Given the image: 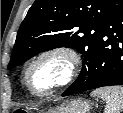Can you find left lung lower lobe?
<instances>
[{
    "mask_svg": "<svg viewBox=\"0 0 123 113\" xmlns=\"http://www.w3.org/2000/svg\"><path fill=\"white\" fill-rule=\"evenodd\" d=\"M111 85H123V0H112L87 71L62 96Z\"/></svg>",
    "mask_w": 123,
    "mask_h": 113,
    "instance_id": "0a47b994",
    "label": "left lung lower lobe"
}]
</instances>
